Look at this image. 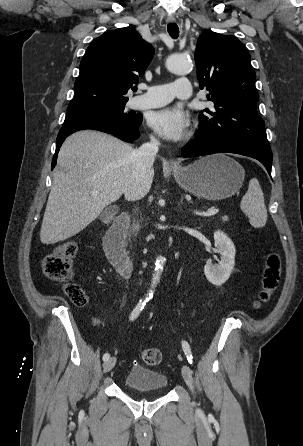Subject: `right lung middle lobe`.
Listing matches in <instances>:
<instances>
[{
  "label": "right lung middle lobe",
  "instance_id": "dd1d6c3e",
  "mask_svg": "<svg viewBox=\"0 0 303 446\" xmlns=\"http://www.w3.org/2000/svg\"><path fill=\"white\" fill-rule=\"evenodd\" d=\"M125 104L126 102H122L88 110H67L64 124L86 117H106L132 126L139 124L142 121V115L125 113Z\"/></svg>",
  "mask_w": 303,
  "mask_h": 446
}]
</instances>
